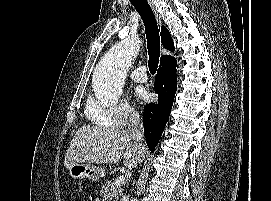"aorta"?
I'll use <instances>...</instances> for the list:
<instances>
[{
  "instance_id": "aorta-1",
  "label": "aorta",
  "mask_w": 271,
  "mask_h": 201,
  "mask_svg": "<svg viewBox=\"0 0 271 201\" xmlns=\"http://www.w3.org/2000/svg\"><path fill=\"white\" fill-rule=\"evenodd\" d=\"M140 46L138 37L129 36L106 52L95 69L93 88L98 99L106 103L118 101L122 95L125 75L140 51Z\"/></svg>"
}]
</instances>
